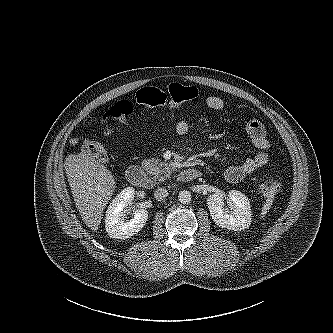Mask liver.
<instances>
[{
	"instance_id": "obj_1",
	"label": "liver",
	"mask_w": 333,
	"mask_h": 333,
	"mask_svg": "<svg viewBox=\"0 0 333 333\" xmlns=\"http://www.w3.org/2000/svg\"><path fill=\"white\" fill-rule=\"evenodd\" d=\"M64 168L82 220L97 231L116 187L113 175L91 152L85 151L67 156Z\"/></svg>"
}]
</instances>
